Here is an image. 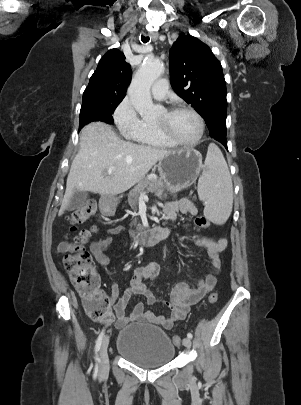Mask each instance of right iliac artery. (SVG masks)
<instances>
[{
	"label": "right iliac artery",
	"mask_w": 301,
	"mask_h": 405,
	"mask_svg": "<svg viewBox=\"0 0 301 405\" xmlns=\"http://www.w3.org/2000/svg\"><path fill=\"white\" fill-rule=\"evenodd\" d=\"M104 330L105 329H103L102 331H101V333H100V335H99V337L97 338V341H96V345H95V360H96V362H98L99 361V358H98V355H97V353H98V351H99V349H100V346H101V344H102V340H103V337H104ZM97 372H98V364L96 363V366H95V374H97Z\"/></svg>",
	"instance_id": "right-iliac-artery-1"
}]
</instances>
